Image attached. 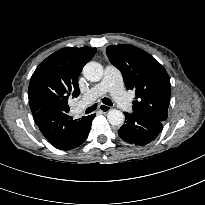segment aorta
<instances>
[{
  "label": "aorta",
  "instance_id": "762f6f07",
  "mask_svg": "<svg viewBox=\"0 0 205 205\" xmlns=\"http://www.w3.org/2000/svg\"><path fill=\"white\" fill-rule=\"evenodd\" d=\"M103 72V67L98 62L90 61L83 68L84 77L91 82L100 81L103 77ZM107 119L111 125L120 126L123 124L125 116L121 111L111 109L107 113Z\"/></svg>",
  "mask_w": 205,
  "mask_h": 205
}]
</instances>
